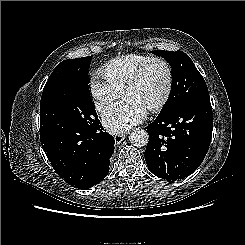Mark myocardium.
Wrapping results in <instances>:
<instances>
[{
    "label": "myocardium",
    "instance_id": "myocardium-1",
    "mask_svg": "<svg viewBox=\"0 0 245 245\" xmlns=\"http://www.w3.org/2000/svg\"><path fill=\"white\" fill-rule=\"evenodd\" d=\"M153 62L161 63L165 67V70L167 73V84H166V89H165V92H164L162 98L160 99V101L157 104H155L154 106H152L151 108L148 109L150 112L156 113V112L161 111L165 107V105L167 104V102L171 96L172 88H173V71H172V68H171L169 62L167 60H165L164 58L158 57V56L149 57L136 70V72L132 75V77L125 84V86L123 88V94L125 95L128 89L135 86L141 80V78H142L143 74L145 73L147 67Z\"/></svg>",
    "mask_w": 245,
    "mask_h": 245
}]
</instances>
